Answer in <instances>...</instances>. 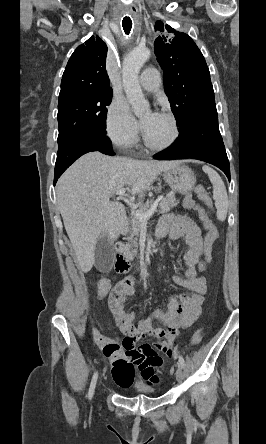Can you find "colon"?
Segmentation results:
<instances>
[{
    "mask_svg": "<svg viewBox=\"0 0 266 444\" xmlns=\"http://www.w3.org/2000/svg\"><path fill=\"white\" fill-rule=\"evenodd\" d=\"M193 193L207 207L211 206L209 195L203 186L201 185L196 186L193 190ZM184 203L187 208L198 211L200 219L206 231L202 255L197 264V269H196L197 276H201V273L206 269L207 265L212 260L213 245L217 239L218 231L214 223L207 215L206 211L195 202V200L192 197V194L186 196ZM131 288L132 285L128 280H122L119 283H117L113 287L109 295L110 308H114L122 303H125L127 297L129 296ZM203 335H204V328L198 329L191 337L190 341L183 347V350L197 345L202 340Z\"/></svg>",
    "mask_w": 266,
    "mask_h": 444,
    "instance_id": "colon-1",
    "label": "colon"
}]
</instances>
